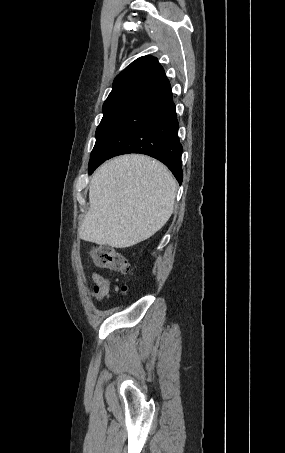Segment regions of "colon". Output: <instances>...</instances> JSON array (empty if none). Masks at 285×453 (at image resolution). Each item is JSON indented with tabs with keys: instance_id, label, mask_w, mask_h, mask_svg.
Instances as JSON below:
<instances>
[{
	"instance_id": "5ec220e1",
	"label": "colon",
	"mask_w": 285,
	"mask_h": 453,
	"mask_svg": "<svg viewBox=\"0 0 285 453\" xmlns=\"http://www.w3.org/2000/svg\"><path fill=\"white\" fill-rule=\"evenodd\" d=\"M90 258L93 264L102 269H109L121 274H127L131 271L128 260L117 250L100 245L90 251ZM125 290V286L123 287Z\"/></svg>"
}]
</instances>
